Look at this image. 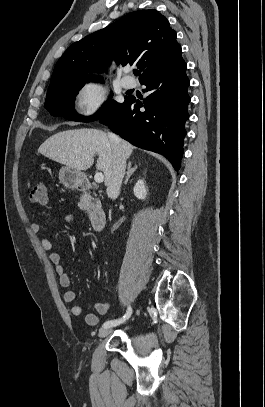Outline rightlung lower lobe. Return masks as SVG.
Returning a JSON list of instances; mask_svg holds the SVG:
<instances>
[{
    "label": "right lung lower lobe",
    "instance_id": "right-lung-lower-lobe-1",
    "mask_svg": "<svg viewBox=\"0 0 265 407\" xmlns=\"http://www.w3.org/2000/svg\"><path fill=\"white\" fill-rule=\"evenodd\" d=\"M181 52L140 80L150 95L142 102L133 97L100 118V122L133 145L166 157L176 171L181 165L184 124L191 98L190 81ZM144 107L145 111H140Z\"/></svg>",
    "mask_w": 265,
    "mask_h": 407
}]
</instances>
